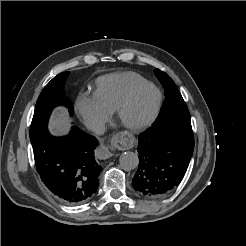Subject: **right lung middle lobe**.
<instances>
[{
	"instance_id": "obj_1",
	"label": "right lung middle lobe",
	"mask_w": 246,
	"mask_h": 246,
	"mask_svg": "<svg viewBox=\"0 0 246 246\" xmlns=\"http://www.w3.org/2000/svg\"><path fill=\"white\" fill-rule=\"evenodd\" d=\"M68 75L69 72L58 74L42 90L36 102L30 126V139L47 129V123L54 107L64 105L69 108L70 115H73L74 109L64 94V84Z\"/></svg>"
}]
</instances>
